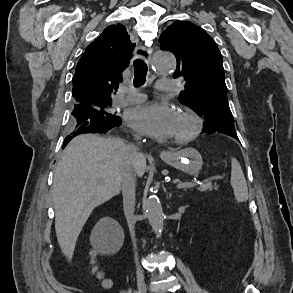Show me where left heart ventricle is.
<instances>
[{
    "label": "left heart ventricle",
    "instance_id": "1",
    "mask_svg": "<svg viewBox=\"0 0 293 293\" xmlns=\"http://www.w3.org/2000/svg\"><path fill=\"white\" fill-rule=\"evenodd\" d=\"M191 128V123L183 117L176 115L172 136L186 134Z\"/></svg>",
    "mask_w": 293,
    "mask_h": 293
}]
</instances>
